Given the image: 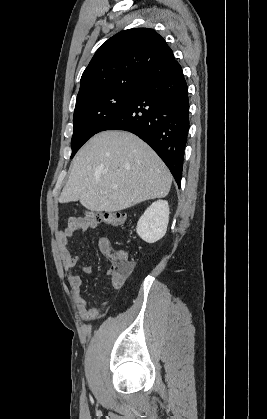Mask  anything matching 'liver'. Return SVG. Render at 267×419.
<instances>
[{"label": "liver", "mask_w": 267, "mask_h": 419, "mask_svg": "<svg viewBox=\"0 0 267 419\" xmlns=\"http://www.w3.org/2000/svg\"><path fill=\"white\" fill-rule=\"evenodd\" d=\"M172 176L159 156L136 135L104 131L93 136L74 158L60 203L80 201L95 212H116L163 198Z\"/></svg>", "instance_id": "liver-1"}]
</instances>
